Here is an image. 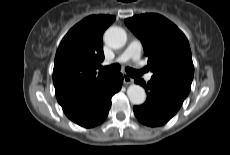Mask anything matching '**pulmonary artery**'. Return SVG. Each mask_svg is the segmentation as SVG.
<instances>
[{"label":"pulmonary artery","mask_w":230,"mask_h":155,"mask_svg":"<svg viewBox=\"0 0 230 155\" xmlns=\"http://www.w3.org/2000/svg\"><path fill=\"white\" fill-rule=\"evenodd\" d=\"M141 52V43L137 40H133L129 43L124 52L116 59V62L124 63L129 60L137 61L141 56ZM105 64H108V62H105ZM147 79H150V75L147 77Z\"/></svg>","instance_id":"obj_1"}]
</instances>
